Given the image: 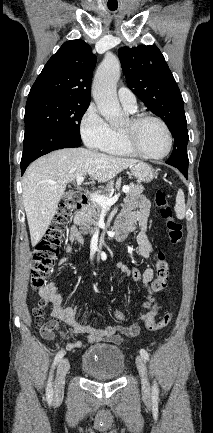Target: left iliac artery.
<instances>
[{
  "label": "left iliac artery",
  "mask_w": 213,
  "mask_h": 433,
  "mask_svg": "<svg viewBox=\"0 0 213 433\" xmlns=\"http://www.w3.org/2000/svg\"><path fill=\"white\" fill-rule=\"evenodd\" d=\"M140 354L144 359L149 360V354L145 349H141ZM158 396H159V390H158L157 384L154 383V385L152 387V398L154 400H156V399H158Z\"/></svg>",
  "instance_id": "1"
}]
</instances>
